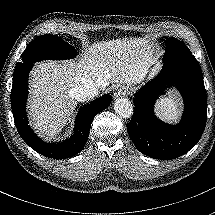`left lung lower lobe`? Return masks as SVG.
I'll list each match as a JSON object with an SVG mask.
<instances>
[{
    "label": "left lung lower lobe",
    "mask_w": 215,
    "mask_h": 215,
    "mask_svg": "<svg viewBox=\"0 0 215 215\" xmlns=\"http://www.w3.org/2000/svg\"><path fill=\"white\" fill-rule=\"evenodd\" d=\"M163 69L133 99L135 112L127 129L137 149L151 158L170 160L182 156L201 138L207 118V98L201 67L192 55L163 60ZM175 86L185 110L177 125L159 120L153 107L159 95Z\"/></svg>",
    "instance_id": "left-lung-lower-lobe-1"
}]
</instances>
